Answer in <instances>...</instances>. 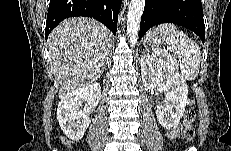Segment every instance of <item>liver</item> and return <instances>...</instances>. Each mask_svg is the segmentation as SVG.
<instances>
[{
	"label": "liver",
	"mask_w": 231,
	"mask_h": 151,
	"mask_svg": "<svg viewBox=\"0 0 231 151\" xmlns=\"http://www.w3.org/2000/svg\"><path fill=\"white\" fill-rule=\"evenodd\" d=\"M110 31L85 17L61 22L48 37L49 61L59 82V98L95 82L103 73Z\"/></svg>",
	"instance_id": "obj_1"
}]
</instances>
